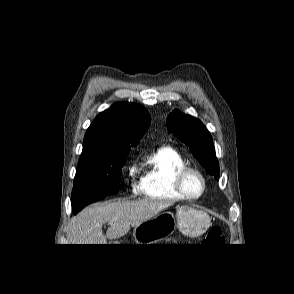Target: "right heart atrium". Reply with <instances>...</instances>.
Returning <instances> with one entry per match:
<instances>
[{
    "label": "right heart atrium",
    "mask_w": 294,
    "mask_h": 294,
    "mask_svg": "<svg viewBox=\"0 0 294 294\" xmlns=\"http://www.w3.org/2000/svg\"><path fill=\"white\" fill-rule=\"evenodd\" d=\"M137 175H138V168L135 163H131L127 168L126 178L131 183V188L133 192L137 191Z\"/></svg>",
    "instance_id": "right-heart-atrium-1"
}]
</instances>
